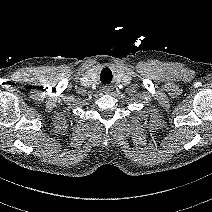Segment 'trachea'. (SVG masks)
I'll list each match as a JSON object with an SVG mask.
<instances>
[{"label":"trachea","instance_id":"obj_1","mask_svg":"<svg viewBox=\"0 0 212 212\" xmlns=\"http://www.w3.org/2000/svg\"><path fill=\"white\" fill-rule=\"evenodd\" d=\"M106 72L108 73L107 75H105ZM100 78L102 79V83H104V84L110 83L112 80V73H111L110 69L104 68L101 72Z\"/></svg>","mask_w":212,"mask_h":212}]
</instances>
